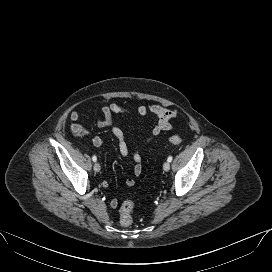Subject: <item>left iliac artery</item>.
I'll return each instance as SVG.
<instances>
[{"label": "left iliac artery", "instance_id": "left-iliac-artery-1", "mask_svg": "<svg viewBox=\"0 0 272 272\" xmlns=\"http://www.w3.org/2000/svg\"><path fill=\"white\" fill-rule=\"evenodd\" d=\"M172 159H173V157H172V156H169L168 159H167V161H168V162H171Z\"/></svg>", "mask_w": 272, "mask_h": 272}]
</instances>
